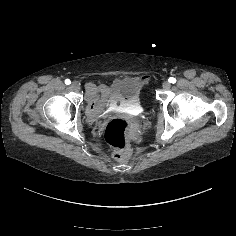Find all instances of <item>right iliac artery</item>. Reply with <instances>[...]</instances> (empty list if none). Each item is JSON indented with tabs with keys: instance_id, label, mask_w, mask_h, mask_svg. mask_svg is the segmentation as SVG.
<instances>
[{
	"instance_id": "1",
	"label": "right iliac artery",
	"mask_w": 236,
	"mask_h": 236,
	"mask_svg": "<svg viewBox=\"0 0 236 236\" xmlns=\"http://www.w3.org/2000/svg\"><path fill=\"white\" fill-rule=\"evenodd\" d=\"M65 84H66V85H70V84H71V81H70L69 79H66V80H65Z\"/></svg>"
}]
</instances>
